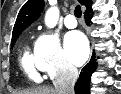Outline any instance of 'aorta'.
<instances>
[{
	"instance_id": "1",
	"label": "aorta",
	"mask_w": 121,
	"mask_h": 94,
	"mask_svg": "<svg viewBox=\"0 0 121 94\" xmlns=\"http://www.w3.org/2000/svg\"><path fill=\"white\" fill-rule=\"evenodd\" d=\"M59 18V10L56 7L49 8L45 14V24L48 28L56 26Z\"/></svg>"
}]
</instances>
